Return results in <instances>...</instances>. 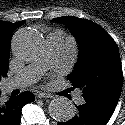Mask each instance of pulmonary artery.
<instances>
[{
  "label": "pulmonary artery",
  "instance_id": "obj_1",
  "mask_svg": "<svg viewBox=\"0 0 125 125\" xmlns=\"http://www.w3.org/2000/svg\"><path fill=\"white\" fill-rule=\"evenodd\" d=\"M66 48V37L62 31L47 34L44 48L39 57L13 78L9 79L4 84L5 90L9 91L27 87L36 83L46 70L59 68L62 64L63 54ZM75 102L77 104H83L84 99L80 93L76 95Z\"/></svg>",
  "mask_w": 125,
  "mask_h": 125
}]
</instances>
